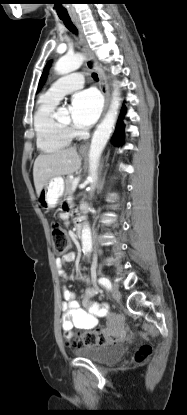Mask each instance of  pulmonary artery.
Segmentation results:
<instances>
[{"label":"pulmonary artery","instance_id":"pulmonary-artery-1","mask_svg":"<svg viewBox=\"0 0 187 415\" xmlns=\"http://www.w3.org/2000/svg\"><path fill=\"white\" fill-rule=\"evenodd\" d=\"M84 84L82 73L76 72L59 78L47 90L46 96L54 101L60 100L63 95L80 89Z\"/></svg>","mask_w":187,"mask_h":415}]
</instances>
